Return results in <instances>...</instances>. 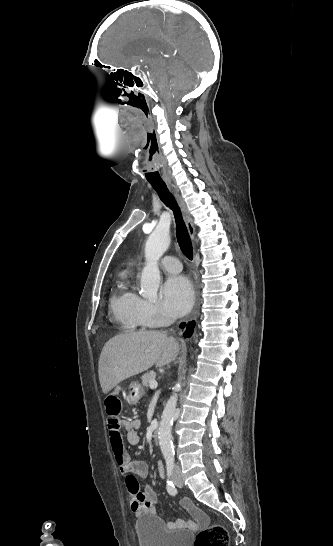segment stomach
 Masks as SVG:
<instances>
[{
	"mask_svg": "<svg viewBox=\"0 0 333 546\" xmlns=\"http://www.w3.org/2000/svg\"><path fill=\"white\" fill-rule=\"evenodd\" d=\"M128 389L127 399L132 403H136L144 394V389L137 382L131 383Z\"/></svg>",
	"mask_w": 333,
	"mask_h": 546,
	"instance_id": "obj_1",
	"label": "stomach"
}]
</instances>
